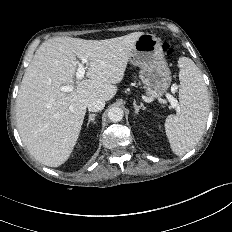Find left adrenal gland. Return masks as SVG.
Returning <instances> with one entry per match:
<instances>
[{
    "instance_id": "obj_1",
    "label": "left adrenal gland",
    "mask_w": 232,
    "mask_h": 232,
    "mask_svg": "<svg viewBox=\"0 0 232 232\" xmlns=\"http://www.w3.org/2000/svg\"><path fill=\"white\" fill-rule=\"evenodd\" d=\"M133 106H134V109H135L136 114L139 113V110H140V109L145 110V108H144L142 105H141V106H138V105L136 104V101H135V100L133 101Z\"/></svg>"
}]
</instances>
